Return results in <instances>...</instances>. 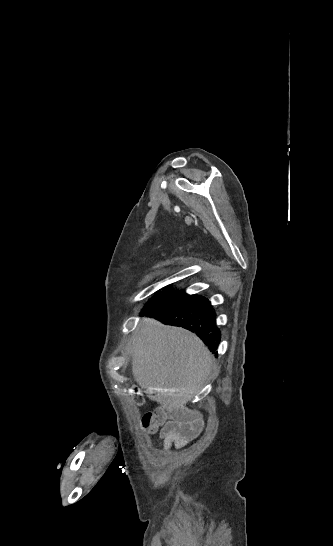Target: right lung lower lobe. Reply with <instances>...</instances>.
<instances>
[{
	"label": "right lung lower lobe",
	"mask_w": 333,
	"mask_h": 546,
	"mask_svg": "<svg viewBox=\"0 0 333 546\" xmlns=\"http://www.w3.org/2000/svg\"><path fill=\"white\" fill-rule=\"evenodd\" d=\"M145 314L165 324L180 326L196 333L213 353L220 343L221 334L216 326L214 309L204 297L183 296L141 312V316Z\"/></svg>",
	"instance_id": "1"
}]
</instances>
